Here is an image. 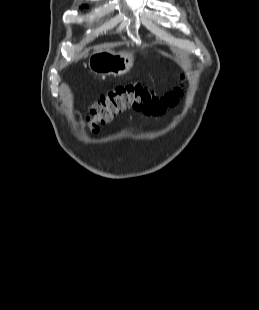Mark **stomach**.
<instances>
[{"label": "stomach", "mask_w": 259, "mask_h": 310, "mask_svg": "<svg viewBox=\"0 0 259 310\" xmlns=\"http://www.w3.org/2000/svg\"><path fill=\"white\" fill-rule=\"evenodd\" d=\"M133 61L132 52L115 53L111 50H99L89 57L88 65L96 74L120 76L130 70Z\"/></svg>", "instance_id": "stomach-1"}]
</instances>
